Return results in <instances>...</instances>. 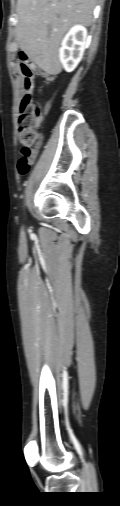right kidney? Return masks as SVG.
<instances>
[{
    "mask_svg": "<svg viewBox=\"0 0 120 506\" xmlns=\"http://www.w3.org/2000/svg\"><path fill=\"white\" fill-rule=\"evenodd\" d=\"M88 35L85 27L73 26L65 35L59 50V59L67 72L73 71L82 59Z\"/></svg>",
    "mask_w": 120,
    "mask_h": 506,
    "instance_id": "right-kidney-1",
    "label": "right kidney"
}]
</instances>
